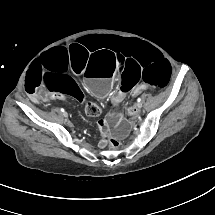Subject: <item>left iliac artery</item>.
I'll use <instances>...</instances> for the list:
<instances>
[{
    "mask_svg": "<svg viewBox=\"0 0 215 215\" xmlns=\"http://www.w3.org/2000/svg\"><path fill=\"white\" fill-rule=\"evenodd\" d=\"M137 104H140V106H142L141 98L137 99Z\"/></svg>",
    "mask_w": 215,
    "mask_h": 215,
    "instance_id": "44dca946",
    "label": "left iliac artery"
}]
</instances>
